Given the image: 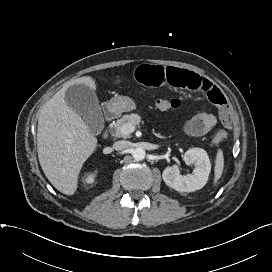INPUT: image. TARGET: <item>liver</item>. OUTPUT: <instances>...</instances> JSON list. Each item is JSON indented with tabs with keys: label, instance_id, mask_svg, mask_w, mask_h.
I'll return each instance as SVG.
<instances>
[{
	"label": "liver",
	"instance_id": "1",
	"mask_svg": "<svg viewBox=\"0 0 272 272\" xmlns=\"http://www.w3.org/2000/svg\"><path fill=\"white\" fill-rule=\"evenodd\" d=\"M74 84L96 89L95 80L90 76L77 78L63 86L42 107L37 130L41 168L50 183L66 195L75 193L82 166L98 142L80 115L66 103L65 92Z\"/></svg>",
	"mask_w": 272,
	"mask_h": 272
}]
</instances>
